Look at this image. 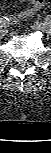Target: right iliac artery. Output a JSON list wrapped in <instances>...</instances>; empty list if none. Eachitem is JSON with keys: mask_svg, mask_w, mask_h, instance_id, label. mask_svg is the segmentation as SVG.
<instances>
[{"mask_svg": "<svg viewBox=\"0 0 51 153\" xmlns=\"http://www.w3.org/2000/svg\"><path fill=\"white\" fill-rule=\"evenodd\" d=\"M9 22V18L6 16H3L0 20V23H4L5 25Z\"/></svg>", "mask_w": 51, "mask_h": 153, "instance_id": "right-iliac-artery-1", "label": "right iliac artery"}]
</instances>
